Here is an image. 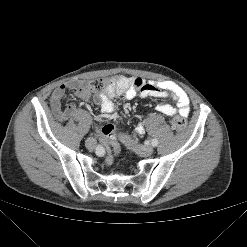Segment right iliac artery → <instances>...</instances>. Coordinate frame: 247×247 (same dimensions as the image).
Masks as SVG:
<instances>
[{
  "label": "right iliac artery",
  "mask_w": 247,
  "mask_h": 247,
  "mask_svg": "<svg viewBox=\"0 0 247 247\" xmlns=\"http://www.w3.org/2000/svg\"><path fill=\"white\" fill-rule=\"evenodd\" d=\"M95 154H96L98 157H103V156L106 154V149H105L103 146H98V147L95 149Z\"/></svg>",
  "instance_id": "obj_1"
}]
</instances>
